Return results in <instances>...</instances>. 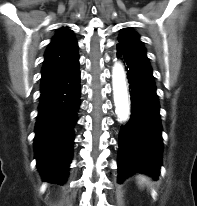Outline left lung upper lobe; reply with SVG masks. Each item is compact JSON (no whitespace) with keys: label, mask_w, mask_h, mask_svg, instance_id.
<instances>
[{"label":"left lung upper lobe","mask_w":197,"mask_h":206,"mask_svg":"<svg viewBox=\"0 0 197 206\" xmlns=\"http://www.w3.org/2000/svg\"><path fill=\"white\" fill-rule=\"evenodd\" d=\"M119 46L135 56L140 60L147 68L151 69L149 59L146 56V49L143 43L140 41L139 36L131 28H124L120 31L119 35Z\"/></svg>","instance_id":"obj_1"}]
</instances>
